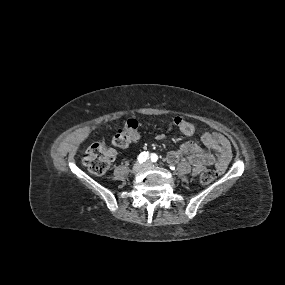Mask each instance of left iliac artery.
<instances>
[{
    "instance_id": "1",
    "label": "left iliac artery",
    "mask_w": 285,
    "mask_h": 285,
    "mask_svg": "<svg viewBox=\"0 0 285 285\" xmlns=\"http://www.w3.org/2000/svg\"><path fill=\"white\" fill-rule=\"evenodd\" d=\"M150 160L155 163L158 161V156L155 153H152L150 155Z\"/></svg>"
}]
</instances>
